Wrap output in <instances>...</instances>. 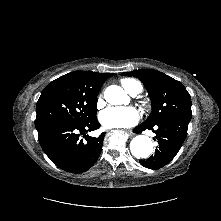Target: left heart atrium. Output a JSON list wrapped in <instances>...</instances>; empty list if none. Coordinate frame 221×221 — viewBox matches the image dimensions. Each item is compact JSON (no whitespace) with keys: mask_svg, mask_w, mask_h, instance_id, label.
Listing matches in <instances>:
<instances>
[{"mask_svg":"<svg viewBox=\"0 0 221 221\" xmlns=\"http://www.w3.org/2000/svg\"><path fill=\"white\" fill-rule=\"evenodd\" d=\"M99 121L107 129L127 128L139 121V112L134 107H109L100 113Z\"/></svg>","mask_w":221,"mask_h":221,"instance_id":"39dd6f15","label":"left heart atrium"}]
</instances>
